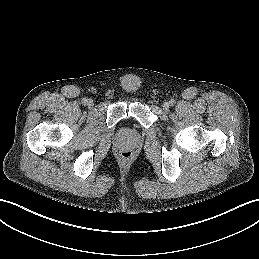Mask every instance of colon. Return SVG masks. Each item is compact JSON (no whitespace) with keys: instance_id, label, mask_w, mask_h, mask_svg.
<instances>
[{"instance_id":"1","label":"colon","mask_w":259,"mask_h":259,"mask_svg":"<svg viewBox=\"0 0 259 259\" xmlns=\"http://www.w3.org/2000/svg\"><path fill=\"white\" fill-rule=\"evenodd\" d=\"M120 157H121L122 160L128 161V160H130L131 157H132V152L129 151V150H124V151H122V152L120 153Z\"/></svg>"}]
</instances>
